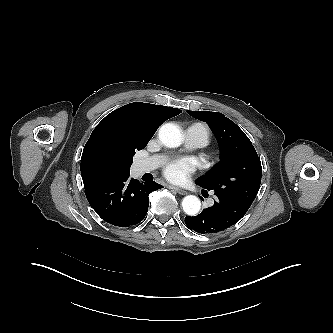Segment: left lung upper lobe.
<instances>
[{"instance_id":"5c2ea615","label":"left lung upper lobe","mask_w":333,"mask_h":333,"mask_svg":"<svg viewBox=\"0 0 333 333\" xmlns=\"http://www.w3.org/2000/svg\"><path fill=\"white\" fill-rule=\"evenodd\" d=\"M187 113L209 125L221 150V161L198 178L196 184L206 190H213L215 194L251 206L260 188L262 166L249 138L221 113Z\"/></svg>"}]
</instances>
